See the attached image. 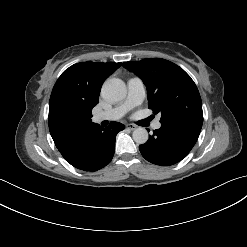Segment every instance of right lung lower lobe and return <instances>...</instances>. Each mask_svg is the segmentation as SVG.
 <instances>
[{
    "mask_svg": "<svg viewBox=\"0 0 247 247\" xmlns=\"http://www.w3.org/2000/svg\"><path fill=\"white\" fill-rule=\"evenodd\" d=\"M123 129L124 126L118 122H111L105 128L90 123L79 134L57 148L75 168L94 172L112 160L116 135Z\"/></svg>",
    "mask_w": 247,
    "mask_h": 247,
    "instance_id": "1",
    "label": "right lung lower lobe"
}]
</instances>
